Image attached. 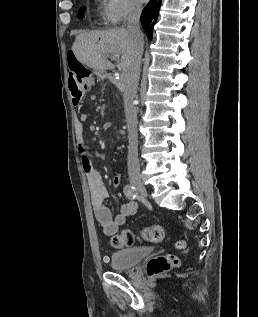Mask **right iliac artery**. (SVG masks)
I'll return each mask as SVG.
<instances>
[{
  "label": "right iliac artery",
  "instance_id": "right-iliac-artery-1",
  "mask_svg": "<svg viewBox=\"0 0 258 317\" xmlns=\"http://www.w3.org/2000/svg\"><path fill=\"white\" fill-rule=\"evenodd\" d=\"M124 194L130 200H137V198H138V193L136 191V188L134 186L129 185V184L125 185Z\"/></svg>",
  "mask_w": 258,
  "mask_h": 317
}]
</instances>
